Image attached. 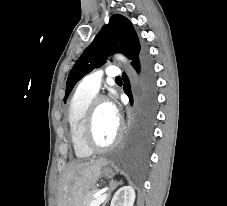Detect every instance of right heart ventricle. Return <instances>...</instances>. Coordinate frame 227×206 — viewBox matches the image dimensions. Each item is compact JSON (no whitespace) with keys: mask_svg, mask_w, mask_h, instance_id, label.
I'll return each instance as SVG.
<instances>
[{"mask_svg":"<svg viewBox=\"0 0 227 206\" xmlns=\"http://www.w3.org/2000/svg\"><path fill=\"white\" fill-rule=\"evenodd\" d=\"M95 94L78 88L73 94L66 115L69 135L74 154L84 159L92 154L83 140V123L87 108L94 99Z\"/></svg>","mask_w":227,"mask_h":206,"instance_id":"1","label":"right heart ventricle"}]
</instances>
